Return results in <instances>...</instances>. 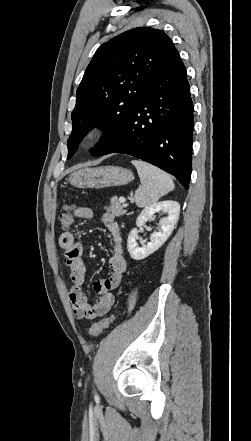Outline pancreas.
<instances>
[{
  "instance_id": "cf45deb5",
  "label": "pancreas",
  "mask_w": 251,
  "mask_h": 441,
  "mask_svg": "<svg viewBox=\"0 0 251 441\" xmlns=\"http://www.w3.org/2000/svg\"><path fill=\"white\" fill-rule=\"evenodd\" d=\"M105 210L107 212H111L115 216H121L126 213V209L124 208V206L121 204V202L118 200L117 197H113L110 200V204L109 206L105 207Z\"/></svg>"
}]
</instances>
